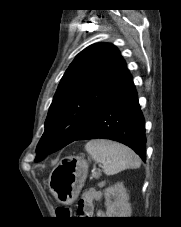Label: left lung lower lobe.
Masks as SVG:
<instances>
[{"label": "left lung lower lobe", "mask_w": 181, "mask_h": 227, "mask_svg": "<svg viewBox=\"0 0 181 227\" xmlns=\"http://www.w3.org/2000/svg\"><path fill=\"white\" fill-rule=\"evenodd\" d=\"M97 138L123 143L145 161V122L131 76L98 107L85 131L76 140Z\"/></svg>", "instance_id": "0a47b994"}]
</instances>
